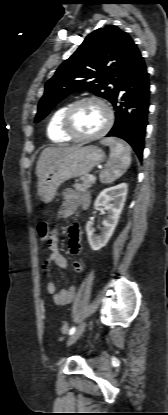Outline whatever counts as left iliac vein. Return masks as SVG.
Listing matches in <instances>:
<instances>
[{
    "label": "left iliac vein",
    "instance_id": "left-iliac-vein-1",
    "mask_svg": "<svg viewBox=\"0 0 168 415\" xmlns=\"http://www.w3.org/2000/svg\"><path fill=\"white\" fill-rule=\"evenodd\" d=\"M86 327V323L83 322L76 330L75 332L70 336L69 340L67 341V345L70 346L73 343H75L78 338L82 335Z\"/></svg>",
    "mask_w": 168,
    "mask_h": 415
}]
</instances>
